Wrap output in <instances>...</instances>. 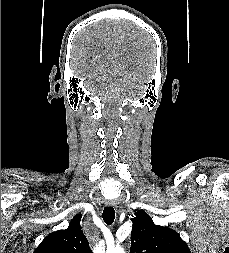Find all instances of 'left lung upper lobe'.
<instances>
[{"instance_id":"obj_1","label":"left lung upper lobe","mask_w":229,"mask_h":253,"mask_svg":"<svg viewBox=\"0 0 229 253\" xmlns=\"http://www.w3.org/2000/svg\"><path fill=\"white\" fill-rule=\"evenodd\" d=\"M135 215L131 219L130 253H191L176 231L156 226L143 210L137 211Z\"/></svg>"}]
</instances>
